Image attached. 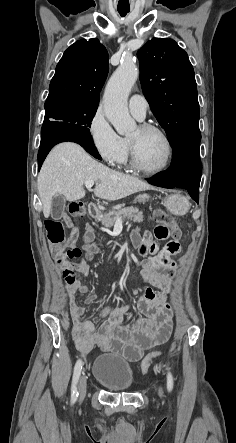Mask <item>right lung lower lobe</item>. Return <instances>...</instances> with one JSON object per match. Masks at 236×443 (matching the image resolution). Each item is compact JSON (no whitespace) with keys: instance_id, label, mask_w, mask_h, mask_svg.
Masks as SVG:
<instances>
[{"instance_id":"obj_1","label":"right lung lower lobe","mask_w":236,"mask_h":443,"mask_svg":"<svg viewBox=\"0 0 236 443\" xmlns=\"http://www.w3.org/2000/svg\"><path fill=\"white\" fill-rule=\"evenodd\" d=\"M41 144L38 152V170L53 146L60 142L72 141L80 144L88 153L101 160L96 150L91 135L80 133L73 129L69 123L52 121L45 123L41 129Z\"/></svg>"}]
</instances>
